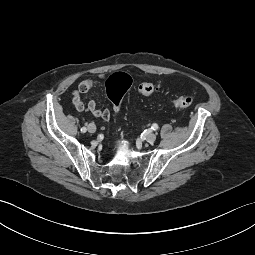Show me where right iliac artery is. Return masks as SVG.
Here are the masks:
<instances>
[{
  "mask_svg": "<svg viewBox=\"0 0 255 255\" xmlns=\"http://www.w3.org/2000/svg\"><path fill=\"white\" fill-rule=\"evenodd\" d=\"M87 131L86 127L81 128V132L85 133Z\"/></svg>",
  "mask_w": 255,
  "mask_h": 255,
  "instance_id": "82829eb1",
  "label": "right iliac artery"
}]
</instances>
